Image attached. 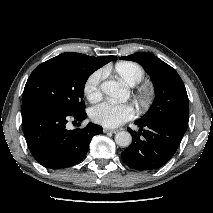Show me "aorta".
Returning a JSON list of instances; mask_svg holds the SVG:
<instances>
[{"instance_id":"762f6f07","label":"aorta","mask_w":213,"mask_h":213,"mask_svg":"<svg viewBox=\"0 0 213 213\" xmlns=\"http://www.w3.org/2000/svg\"><path fill=\"white\" fill-rule=\"evenodd\" d=\"M101 90L112 99H123L126 96V90L123 86L114 80H107L101 84ZM115 142L120 147H128L132 142V136L127 131L118 132L115 135Z\"/></svg>"}]
</instances>
